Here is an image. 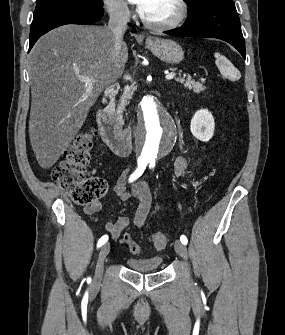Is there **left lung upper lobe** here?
I'll use <instances>...</instances> for the list:
<instances>
[{"label":"left lung upper lobe","mask_w":285,"mask_h":335,"mask_svg":"<svg viewBox=\"0 0 285 335\" xmlns=\"http://www.w3.org/2000/svg\"><path fill=\"white\" fill-rule=\"evenodd\" d=\"M188 4L189 12H192L199 8L203 3L211 0H185ZM220 1H233V0H220Z\"/></svg>","instance_id":"obj_1"}]
</instances>
